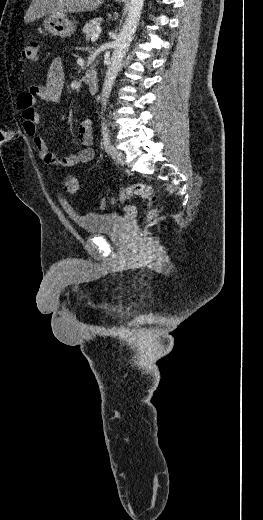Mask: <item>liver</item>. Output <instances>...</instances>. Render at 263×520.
Wrapping results in <instances>:
<instances>
[{
    "instance_id": "obj_1",
    "label": "liver",
    "mask_w": 263,
    "mask_h": 520,
    "mask_svg": "<svg viewBox=\"0 0 263 520\" xmlns=\"http://www.w3.org/2000/svg\"><path fill=\"white\" fill-rule=\"evenodd\" d=\"M104 0H32L25 23L34 22L51 13H82L96 10Z\"/></svg>"
}]
</instances>
